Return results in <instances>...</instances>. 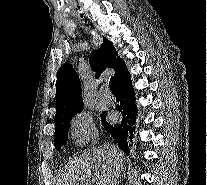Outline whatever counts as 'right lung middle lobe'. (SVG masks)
Returning <instances> with one entry per match:
<instances>
[{"instance_id": "right-lung-middle-lobe-1", "label": "right lung middle lobe", "mask_w": 207, "mask_h": 185, "mask_svg": "<svg viewBox=\"0 0 207 185\" xmlns=\"http://www.w3.org/2000/svg\"><path fill=\"white\" fill-rule=\"evenodd\" d=\"M105 115H106V112L101 114L102 123H104L106 121ZM69 125H70V123L56 128L55 137H54V145L58 151L67 142Z\"/></svg>"}]
</instances>
